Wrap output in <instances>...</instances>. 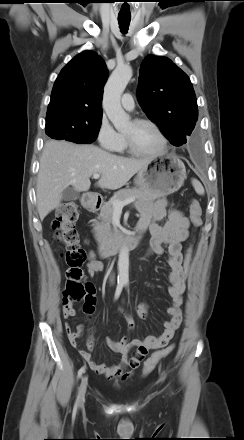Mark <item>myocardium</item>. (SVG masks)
I'll use <instances>...</instances> for the list:
<instances>
[{
    "label": "myocardium",
    "mask_w": 244,
    "mask_h": 440,
    "mask_svg": "<svg viewBox=\"0 0 244 440\" xmlns=\"http://www.w3.org/2000/svg\"><path fill=\"white\" fill-rule=\"evenodd\" d=\"M132 122L136 125H149V126L153 127L158 132L159 136L161 137L162 146L157 152H153V153L144 152L136 146V144L134 143L132 138L123 134L126 145L128 147V150L131 153L138 155V156L152 157V156L162 155L168 150L169 139H168L167 135L165 134L164 130L162 129V127L157 122H155L151 119H148V118H136Z\"/></svg>",
    "instance_id": "1"
}]
</instances>
